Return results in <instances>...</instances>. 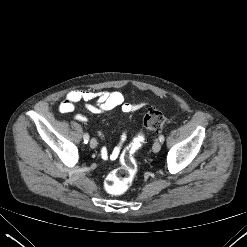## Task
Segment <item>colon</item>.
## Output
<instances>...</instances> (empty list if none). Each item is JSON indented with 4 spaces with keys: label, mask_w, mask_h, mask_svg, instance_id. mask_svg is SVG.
<instances>
[{
    "label": "colon",
    "mask_w": 247,
    "mask_h": 247,
    "mask_svg": "<svg viewBox=\"0 0 247 247\" xmlns=\"http://www.w3.org/2000/svg\"><path fill=\"white\" fill-rule=\"evenodd\" d=\"M166 118L164 114L155 109H149L143 119L144 131L140 132L121 154V166L111 171L105 179V188L111 194H121L131 185L136 173L137 162L135 153L145 142L146 132H158L162 130Z\"/></svg>",
    "instance_id": "5ec220e1"
}]
</instances>
